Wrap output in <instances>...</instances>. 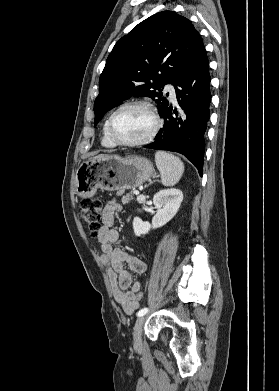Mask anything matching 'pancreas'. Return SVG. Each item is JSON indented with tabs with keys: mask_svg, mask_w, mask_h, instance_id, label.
Masks as SVG:
<instances>
[{
	"mask_svg": "<svg viewBox=\"0 0 279 391\" xmlns=\"http://www.w3.org/2000/svg\"><path fill=\"white\" fill-rule=\"evenodd\" d=\"M117 195L118 196H122V202L124 204L128 203L130 200L133 199V195H132V192H129L127 194L124 195V192L123 191H118L117 192Z\"/></svg>",
	"mask_w": 279,
	"mask_h": 391,
	"instance_id": "cf45deb5",
	"label": "pancreas"
}]
</instances>
